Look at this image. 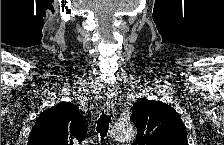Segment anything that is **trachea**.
I'll use <instances>...</instances> for the list:
<instances>
[{
	"label": "trachea",
	"mask_w": 224,
	"mask_h": 145,
	"mask_svg": "<svg viewBox=\"0 0 224 145\" xmlns=\"http://www.w3.org/2000/svg\"><path fill=\"white\" fill-rule=\"evenodd\" d=\"M110 121H111V115H106L102 113L97 123V131L100 133L102 140L108 133Z\"/></svg>",
	"instance_id": "1"
}]
</instances>
